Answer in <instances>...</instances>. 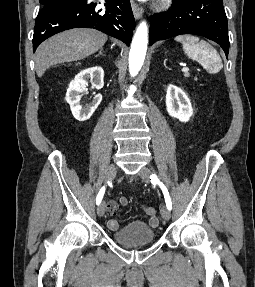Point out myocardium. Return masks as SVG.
I'll use <instances>...</instances> for the list:
<instances>
[{"label": "myocardium", "mask_w": 255, "mask_h": 287, "mask_svg": "<svg viewBox=\"0 0 255 287\" xmlns=\"http://www.w3.org/2000/svg\"><path fill=\"white\" fill-rule=\"evenodd\" d=\"M150 33H152V32H150ZM145 39H147V38H145ZM158 39H162V38H158ZM163 48H168V47H163Z\"/></svg>", "instance_id": "1"}]
</instances>
